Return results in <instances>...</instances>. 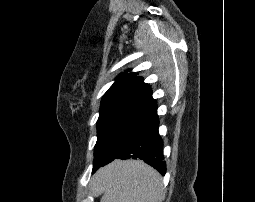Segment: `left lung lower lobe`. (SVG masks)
I'll list each match as a JSON object with an SVG mask.
<instances>
[{"instance_id":"obj_1","label":"left lung lower lobe","mask_w":255,"mask_h":202,"mask_svg":"<svg viewBox=\"0 0 255 202\" xmlns=\"http://www.w3.org/2000/svg\"><path fill=\"white\" fill-rule=\"evenodd\" d=\"M159 120L155 110L131 135L121 151L113 158L96 162L93 167L95 172L115 159H142L145 163L157 169L161 175H165L166 164L163 161V141L158 133Z\"/></svg>"}]
</instances>
